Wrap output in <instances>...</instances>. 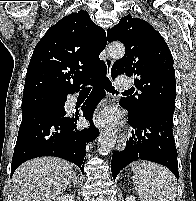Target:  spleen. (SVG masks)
Returning a JSON list of instances; mask_svg holds the SVG:
<instances>
[{
  "instance_id": "spleen-1",
  "label": "spleen",
  "mask_w": 196,
  "mask_h": 201,
  "mask_svg": "<svg viewBox=\"0 0 196 201\" xmlns=\"http://www.w3.org/2000/svg\"><path fill=\"white\" fill-rule=\"evenodd\" d=\"M132 171L141 201H175L176 179L167 168L152 162H136Z\"/></svg>"
}]
</instances>
